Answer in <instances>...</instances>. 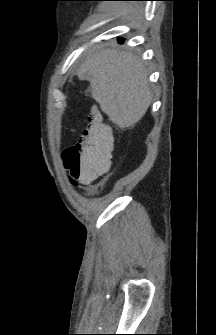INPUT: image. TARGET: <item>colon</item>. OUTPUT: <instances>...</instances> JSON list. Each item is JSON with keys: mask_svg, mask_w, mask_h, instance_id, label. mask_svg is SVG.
<instances>
[{"mask_svg": "<svg viewBox=\"0 0 216 335\" xmlns=\"http://www.w3.org/2000/svg\"><path fill=\"white\" fill-rule=\"evenodd\" d=\"M111 128L93 112L81 139L64 150L65 168L74 178H101V172H111L114 164Z\"/></svg>", "mask_w": 216, "mask_h": 335, "instance_id": "obj_1", "label": "colon"}]
</instances>
